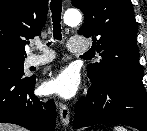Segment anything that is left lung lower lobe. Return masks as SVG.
Returning <instances> with one entry per match:
<instances>
[{"mask_svg": "<svg viewBox=\"0 0 147 131\" xmlns=\"http://www.w3.org/2000/svg\"><path fill=\"white\" fill-rule=\"evenodd\" d=\"M116 123L147 131V97L143 85L124 79L92 82L77 103L73 128Z\"/></svg>", "mask_w": 147, "mask_h": 131, "instance_id": "1", "label": "left lung lower lobe"}]
</instances>
